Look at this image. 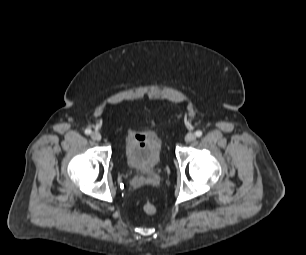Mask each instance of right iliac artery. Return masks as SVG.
Wrapping results in <instances>:
<instances>
[{
	"label": "right iliac artery",
	"mask_w": 306,
	"mask_h": 255,
	"mask_svg": "<svg viewBox=\"0 0 306 255\" xmlns=\"http://www.w3.org/2000/svg\"><path fill=\"white\" fill-rule=\"evenodd\" d=\"M85 134H87V135L91 134V130L90 129H86L85 130Z\"/></svg>",
	"instance_id": "right-iliac-artery-1"
}]
</instances>
